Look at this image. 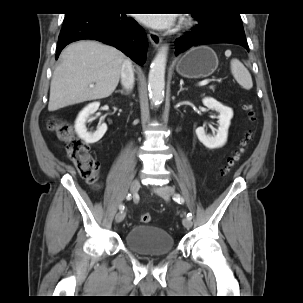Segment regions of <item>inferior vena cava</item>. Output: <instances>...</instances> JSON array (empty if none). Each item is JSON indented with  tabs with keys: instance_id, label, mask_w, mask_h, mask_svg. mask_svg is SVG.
Here are the masks:
<instances>
[{
	"instance_id": "inferior-vena-cava-1",
	"label": "inferior vena cava",
	"mask_w": 303,
	"mask_h": 303,
	"mask_svg": "<svg viewBox=\"0 0 303 303\" xmlns=\"http://www.w3.org/2000/svg\"><path fill=\"white\" fill-rule=\"evenodd\" d=\"M121 83L127 90L132 89L134 86V70L129 59H126L122 65Z\"/></svg>"
}]
</instances>
